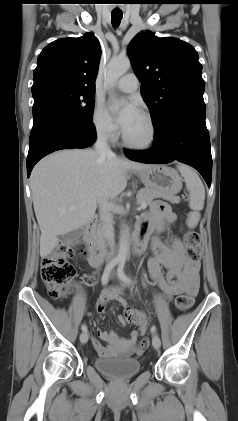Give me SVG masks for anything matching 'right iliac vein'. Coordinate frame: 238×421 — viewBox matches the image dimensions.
Returning <instances> with one entry per match:
<instances>
[{"label":"right iliac vein","mask_w":238,"mask_h":421,"mask_svg":"<svg viewBox=\"0 0 238 421\" xmlns=\"http://www.w3.org/2000/svg\"><path fill=\"white\" fill-rule=\"evenodd\" d=\"M88 339H89L88 333L87 332H82L81 335H80V341H81V343H83V344L87 343Z\"/></svg>","instance_id":"63e3f726"}]
</instances>
